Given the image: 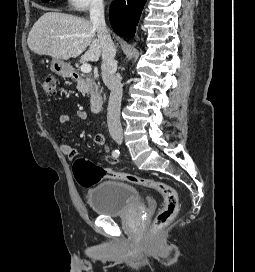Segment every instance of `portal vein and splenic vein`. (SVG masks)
Returning a JSON list of instances; mask_svg holds the SVG:
<instances>
[{
  "mask_svg": "<svg viewBox=\"0 0 255 272\" xmlns=\"http://www.w3.org/2000/svg\"><path fill=\"white\" fill-rule=\"evenodd\" d=\"M91 70H92V67H91L90 64H88V63H83V64L81 65V71H82L83 73H90Z\"/></svg>",
  "mask_w": 255,
  "mask_h": 272,
  "instance_id": "portal-vein-and-splenic-vein-1",
  "label": "portal vein and splenic vein"
}]
</instances>
